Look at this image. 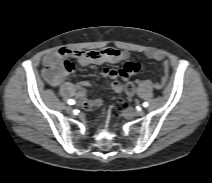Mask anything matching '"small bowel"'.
<instances>
[{
	"instance_id": "c3829d8e",
	"label": "small bowel",
	"mask_w": 212,
	"mask_h": 183,
	"mask_svg": "<svg viewBox=\"0 0 212 183\" xmlns=\"http://www.w3.org/2000/svg\"><path fill=\"white\" fill-rule=\"evenodd\" d=\"M147 57L155 61H164V55L159 51H148ZM75 59L81 67L89 64H115L120 61L127 60L129 53L127 51L118 50L116 48L107 47L101 50L80 51L68 48H61L57 51L47 54L44 57L43 75L46 81L53 87L60 85L67 77L70 76V71L64 70V64L67 59ZM141 66L136 62H127L120 68H104L102 75L112 79V89L114 92H120L123 88L117 78L121 77L127 80L131 75L139 72ZM162 83H165L168 78L169 69L166 61L162 68ZM90 86L88 81H82L77 85L79 96H84L86 88Z\"/></svg>"
}]
</instances>
